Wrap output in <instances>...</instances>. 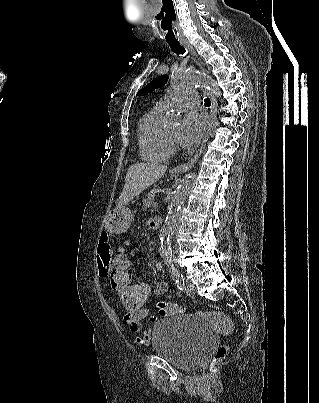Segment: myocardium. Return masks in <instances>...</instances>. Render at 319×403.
<instances>
[{
  "mask_svg": "<svg viewBox=\"0 0 319 403\" xmlns=\"http://www.w3.org/2000/svg\"><path fill=\"white\" fill-rule=\"evenodd\" d=\"M164 140L169 153H175L177 151L176 143L168 136L165 130H164Z\"/></svg>",
  "mask_w": 319,
  "mask_h": 403,
  "instance_id": "obj_1",
  "label": "myocardium"
}]
</instances>
